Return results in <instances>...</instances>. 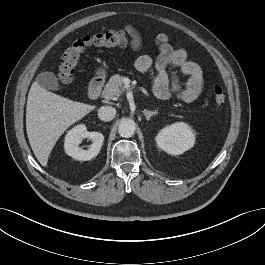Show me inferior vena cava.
Wrapping results in <instances>:
<instances>
[{"label":"inferior vena cava","instance_id":"1","mask_svg":"<svg viewBox=\"0 0 265 265\" xmlns=\"http://www.w3.org/2000/svg\"><path fill=\"white\" fill-rule=\"evenodd\" d=\"M116 115V109L112 106H102L98 110V117L102 121H111Z\"/></svg>","mask_w":265,"mask_h":265}]
</instances>
